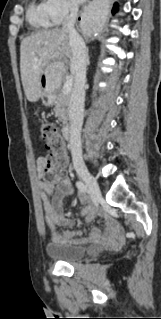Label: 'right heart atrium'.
<instances>
[{
  "mask_svg": "<svg viewBox=\"0 0 161 319\" xmlns=\"http://www.w3.org/2000/svg\"><path fill=\"white\" fill-rule=\"evenodd\" d=\"M47 7L53 18L54 25H59L72 14L76 8L69 0H47Z\"/></svg>",
  "mask_w": 161,
  "mask_h": 319,
  "instance_id": "obj_1",
  "label": "right heart atrium"
}]
</instances>
